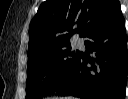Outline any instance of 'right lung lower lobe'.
<instances>
[{
  "label": "right lung lower lobe",
  "mask_w": 128,
  "mask_h": 99,
  "mask_svg": "<svg viewBox=\"0 0 128 99\" xmlns=\"http://www.w3.org/2000/svg\"><path fill=\"white\" fill-rule=\"evenodd\" d=\"M86 37L91 40L85 41V46L96 52V57L80 53L72 73L54 92L83 99H125L128 51L120 5Z\"/></svg>",
  "instance_id": "1"
}]
</instances>
